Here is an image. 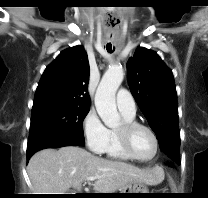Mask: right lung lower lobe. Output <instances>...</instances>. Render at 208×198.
<instances>
[{
	"instance_id": "98d812e1",
	"label": "right lung lower lobe",
	"mask_w": 208,
	"mask_h": 198,
	"mask_svg": "<svg viewBox=\"0 0 208 198\" xmlns=\"http://www.w3.org/2000/svg\"><path fill=\"white\" fill-rule=\"evenodd\" d=\"M83 141L65 134H49L28 141L27 161L37 151L45 148H59L64 146H84Z\"/></svg>"
}]
</instances>
